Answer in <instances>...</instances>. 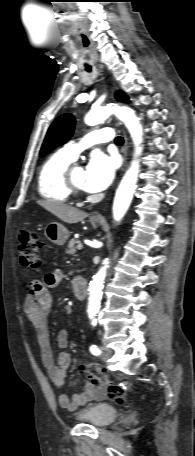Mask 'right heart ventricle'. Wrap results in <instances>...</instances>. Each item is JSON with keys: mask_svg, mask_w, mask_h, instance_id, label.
I'll return each instance as SVG.
<instances>
[{"mask_svg": "<svg viewBox=\"0 0 195 456\" xmlns=\"http://www.w3.org/2000/svg\"><path fill=\"white\" fill-rule=\"evenodd\" d=\"M73 159L62 150L52 154L42 165L38 175V191L50 201L66 202L71 192L65 182V172Z\"/></svg>", "mask_w": 195, "mask_h": 456, "instance_id": "obj_1", "label": "right heart ventricle"}]
</instances>
